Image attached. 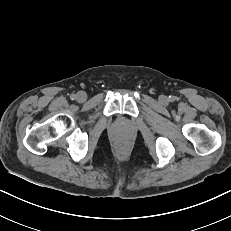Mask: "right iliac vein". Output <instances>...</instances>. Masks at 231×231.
<instances>
[{"label": "right iliac vein", "mask_w": 231, "mask_h": 231, "mask_svg": "<svg viewBox=\"0 0 231 231\" xmlns=\"http://www.w3.org/2000/svg\"><path fill=\"white\" fill-rule=\"evenodd\" d=\"M86 99H87V95H86L85 92L79 91V92L76 94V100H77L78 102H84V101H86Z\"/></svg>", "instance_id": "right-iliac-vein-1"}]
</instances>
